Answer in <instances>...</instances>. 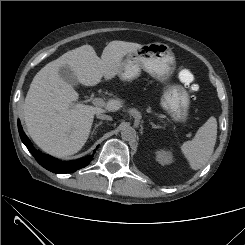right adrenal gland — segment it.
Listing matches in <instances>:
<instances>
[{
    "mask_svg": "<svg viewBox=\"0 0 245 245\" xmlns=\"http://www.w3.org/2000/svg\"><path fill=\"white\" fill-rule=\"evenodd\" d=\"M100 125H102V121H100L98 124H95L94 129H93V131H92V133H91V137H92L93 134L95 133L96 128H97L98 126H100Z\"/></svg>",
    "mask_w": 245,
    "mask_h": 245,
    "instance_id": "right-adrenal-gland-1",
    "label": "right adrenal gland"
}]
</instances>
